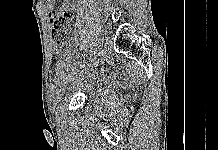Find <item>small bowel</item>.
<instances>
[{
  "instance_id": "1",
  "label": "small bowel",
  "mask_w": 218,
  "mask_h": 150,
  "mask_svg": "<svg viewBox=\"0 0 218 150\" xmlns=\"http://www.w3.org/2000/svg\"><path fill=\"white\" fill-rule=\"evenodd\" d=\"M56 1L45 0L49 20L52 25V33L57 29L68 31L73 19L74 0H63V4L59 9H55Z\"/></svg>"
}]
</instances>
